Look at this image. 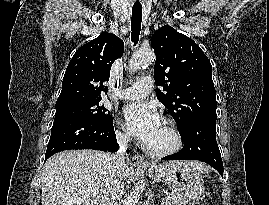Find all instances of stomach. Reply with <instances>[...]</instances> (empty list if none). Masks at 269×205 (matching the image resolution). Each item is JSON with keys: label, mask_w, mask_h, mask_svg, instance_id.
Masks as SVG:
<instances>
[{"label": "stomach", "mask_w": 269, "mask_h": 205, "mask_svg": "<svg viewBox=\"0 0 269 205\" xmlns=\"http://www.w3.org/2000/svg\"><path fill=\"white\" fill-rule=\"evenodd\" d=\"M145 170L149 177L166 183L173 195L183 205H190L192 201L198 200L204 195V183L201 175L187 162L150 163Z\"/></svg>", "instance_id": "0dacf381"}]
</instances>
